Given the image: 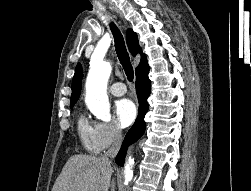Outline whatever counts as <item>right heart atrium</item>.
<instances>
[{"label":"right heart atrium","instance_id":"obj_1","mask_svg":"<svg viewBox=\"0 0 251 191\" xmlns=\"http://www.w3.org/2000/svg\"><path fill=\"white\" fill-rule=\"evenodd\" d=\"M121 139V132L114 123L102 121L95 124V142L99 151L118 144Z\"/></svg>","mask_w":251,"mask_h":191}]
</instances>
